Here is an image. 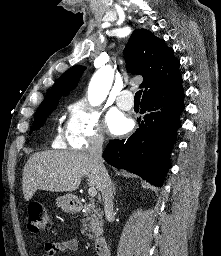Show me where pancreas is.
I'll return each mask as SVG.
<instances>
[{
	"label": "pancreas",
	"mask_w": 221,
	"mask_h": 256,
	"mask_svg": "<svg viewBox=\"0 0 221 256\" xmlns=\"http://www.w3.org/2000/svg\"><path fill=\"white\" fill-rule=\"evenodd\" d=\"M83 230L82 233L89 231V238L93 239V234H98L102 231L103 226V216L100 209H98L93 202L85 206V211L83 213Z\"/></svg>",
	"instance_id": "obj_1"
}]
</instances>
